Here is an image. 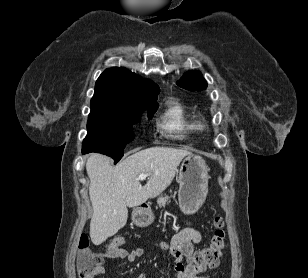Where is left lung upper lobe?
<instances>
[{"mask_svg":"<svg viewBox=\"0 0 308 278\" xmlns=\"http://www.w3.org/2000/svg\"><path fill=\"white\" fill-rule=\"evenodd\" d=\"M178 86L189 90H203L207 87V82L200 72H188L177 83Z\"/></svg>","mask_w":308,"mask_h":278,"instance_id":"5c2ea615","label":"left lung upper lobe"}]
</instances>
